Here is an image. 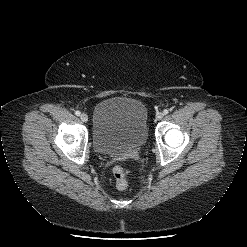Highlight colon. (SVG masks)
<instances>
[{
	"label": "colon",
	"instance_id": "obj_1",
	"mask_svg": "<svg viewBox=\"0 0 247 247\" xmlns=\"http://www.w3.org/2000/svg\"><path fill=\"white\" fill-rule=\"evenodd\" d=\"M113 175L115 178L116 187L119 190H124L128 186L125 170L121 166H115L113 168Z\"/></svg>",
	"mask_w": 247,
	"mask_h": 247
}]
</instances>
